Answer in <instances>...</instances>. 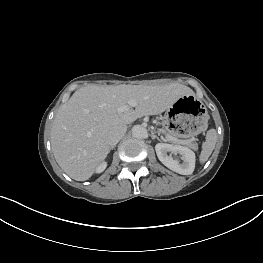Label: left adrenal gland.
I'll list each match as a JSON object with an SVG mask.
<instances>
[{
	"label": "left adrenal gland",
	"mask_w": 263,
	"mask_h": 263,
	"mask_svg": "<svg viewBox=\"0 0 263 263\" xmlns=\"http://www.w3.org/2000/svg\"><path fill=\"white\" fill-rule=\"evenodd\" d=\"M151 137L152 139H157L158 141H161V139L157 135H155L153 131H151Z\"/></svg>",
	"instance_id": "obj_1"
}]
</instances>
